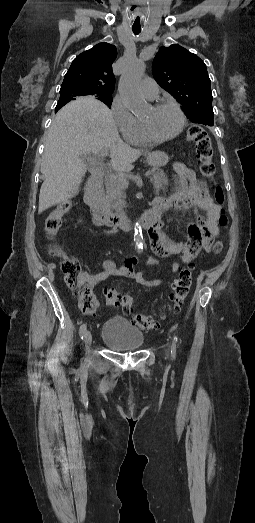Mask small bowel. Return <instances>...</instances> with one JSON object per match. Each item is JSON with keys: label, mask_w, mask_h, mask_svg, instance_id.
<instances>
[{"label": "small bowel", "mask_w": 255, "mask_h": 523, "mask_svg": "<svg viewBox=\"0 0 255 523\" xmlns=\"http://www.w3.org/2000/svg\"><path fill=\"white\" fill-rule=\"evenodd\" d=\"M181 176L177 190L167 199L170 208L179 211L192 210L196 214V221L187 224L188 238L185 241L170 242L164 235L162 229L164 223L160 222L149 230V250L158 258H166L173 255L178 257L171 264V273H176L180 268L181 261L189 264L200 251L210 252L214 238L219 233L218 219L220 207L216 205L209 195L205 184L197 180L195 173L183 165L176 167ZM151 255L145 259L150 266H158L160 260ZM139 258L129 257L124 263L117 267L111 259L102 261L101 272L91 274L83 273L84 280L90 285H96L111 276H122L136 281L145 288L157 287L162 283L160 278L148 280L145 278L146 271L135 270Z\"/></svg>", "instance_id": "obj_1"}]
</instances>
